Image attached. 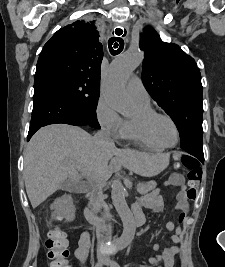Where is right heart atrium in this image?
<instances>
[{
  "label": "right heart atrium",
  "instance_id": "1",
  "mask_svg": "<svg viewBox=\"0 0 225 267\" xmlns=\"http://www.w3.org/2000/svg\"><path fill=\"white\" fill-rule=\"evenodd\" d=\"M96 116L100 125L109 133L119 135L123 128V119L114 105L104 96L98 100Z\"/></svg>",
  "mask_w": 225,
  "mask_h": 267
}]
</instances>
